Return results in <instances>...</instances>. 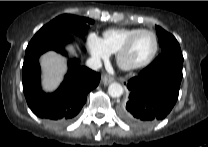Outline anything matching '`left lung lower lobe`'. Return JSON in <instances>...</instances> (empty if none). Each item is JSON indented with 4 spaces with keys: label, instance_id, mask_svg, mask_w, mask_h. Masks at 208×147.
<instances>
[{
    "label": "left lung lower lobe",
    "instance_id": "left-lung-lower-lobe-1",
    "mask_svg": "<svg viewBox=\"0 0 208 147\" xmlns=\"http://www.w3.org/2000/svg\"><path fill=\"white\" fill-rule=\"evenodd\" d=\"M183 58L160 54L137 77L128 81L129 100L119 115L135 127H146L164 119L174 107L182 80Z\"/></svg>",
    "mask_w": 208,
    "mask_h": 147
}]
</instances>
